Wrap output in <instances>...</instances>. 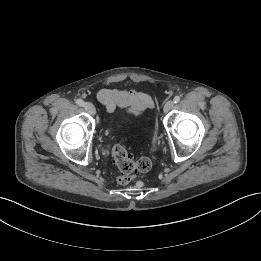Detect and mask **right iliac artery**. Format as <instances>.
Segmentation results:
<instances>
[{"label":"right iliac artery","instance_id":"82829eb1","mask_svg":"<svg viewBox=\"0 0 261 261\" xmlns=\"http://www.w3.org/2000/svg\"><path fill=\"white\" fill-rule=\"evenodd\" d=\"M76 103L79 105V106H84V101L82 99H77L76 100Z\"/></svg>","mask_w":261,"mask_h":261}]
</instances>
